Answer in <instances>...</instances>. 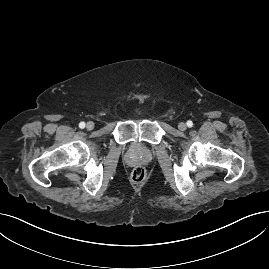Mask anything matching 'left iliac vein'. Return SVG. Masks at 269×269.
<instances>
[{"instance_id":"4c4485c4","label":"left iliac vein","mask_w":269,"mask_h":269,"mask_svg":"<svg viewBox=\"0 0 269 269\" xmlns=\"http://www.w3.org/2000/svg\"><path fill=\"white\" fill-rule=\"evenodd\" d=\"M178 129H179L180 131H185V130L187 129V125H186L184 122H180V123L178 124Z\"/></svg>"}]
</instances>
